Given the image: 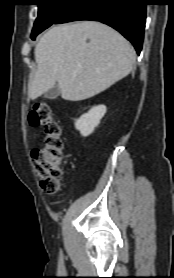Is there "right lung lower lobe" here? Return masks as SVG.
Segmentation results:
<instances>
[{
    "mask_svg": "<svg viewBox=\"0 0 174 278\" xmlns=\"http://www.w3.org/2000/svg\"><path fill=\"white\" fill-rule=\"evenodd\" d=\"M145 0H74L54 24L94 20L107 24L134 46L140 54L146 20Z\"/></svg>",
    "mask_w": 174,
    "mask_h": 278,
    "instance_id": "obj_1",
    "label": "right lung lower lobe"
}]
</instances>
